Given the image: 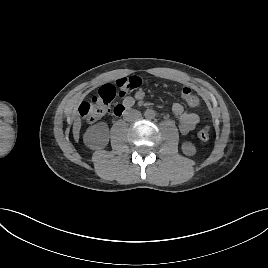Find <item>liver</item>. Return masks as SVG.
Returning <instances> with one entry per match:
<instances>
[{"mask_svg":"<svg viewBox=\"0 0 268 268\" xmlns=\"http://www.w3.org/2000/svg\"><path fill=\"white\" fill-rule=\"evenodd\" d=\"M81 129V119L79 117L75 118L73 123V137L76 142L79 140V134Z\"/></svg>","mask_w":268,"mask_h":268,"instance_id":"obj_1","label":"liver"}]
</instances>
